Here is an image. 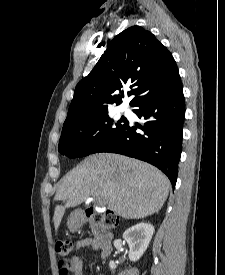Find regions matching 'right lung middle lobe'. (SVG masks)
<instances>
[{"instance_id":"dd1d6c3e","label":"right lung middle lobe","mask_w":225,"mask_h":275,"mask_svg":"<svg viewBox=\"0 0 225 275\" xmlns=\"http://www.w3.org/2000/svg\"><path fill=\"white\" fill-rule=\"evenodd\" d=\"M126 118L114 121L108 111L83 118L63 127L59 152L69 158L96 153L104 144L120 134L127 126Z\"/></svg>"}]
</instances>
